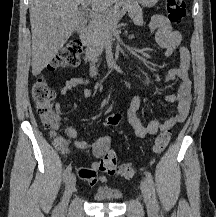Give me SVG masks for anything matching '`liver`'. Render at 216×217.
<instances>
[{
	"label": "liver",
	"instance_id": "1",
	"mask_svg": "<svg viewBox=\"0 0 216 217\" xmlns=\"http://www.w3.org/2000/svg\"><path fill=\"white\" fill-rule=\"evenodd\" d=\"M118 0H30L32 74L37 76L51 62L71 34L82 24L77 6L86 2L105 11Z\"/></svg>",
	"mask_w": 216,
	"mask_h": 217
}]
</instances>
